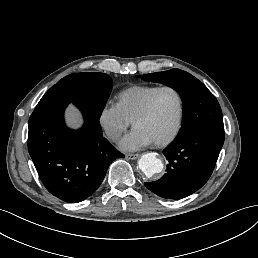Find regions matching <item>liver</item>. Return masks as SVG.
Masks as SVG:
<instances>
[{"instance_id":"1","label":"liver","mask_w":258,"mask_h":258,"mask_svg":"<svg viewBox=\"0 0 258 258\" xmlns=\"http://www.w3.org/2000/svg\"><path fill=\"white\" fill-rule=\"evenodd\" d=\"M66 121L67 124L72 128H78L82 124V119L79 111L72 105H70L66 110Z\"/></svg>"}]
</instances>
